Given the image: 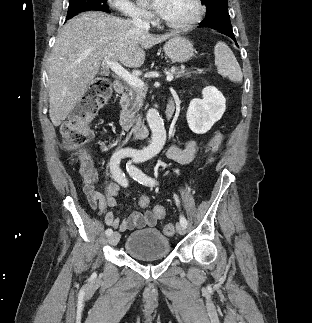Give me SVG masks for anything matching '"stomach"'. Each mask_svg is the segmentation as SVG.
Segmentation results:
<instances>
[{
    "mask_svg": "<svg viewBox=\"0 0 312 323\" xmlns=\"http://www.w3.org/2000/svg\"><path fill=\"white\" fill-rule=\"evenodd\" d=\"M166 56L172 60V62H188L194 56V48L190 40L181 38V36H173L171 40L166 42L163 48Z\"/></svg>",
    "mask_w": 312,
    "mask_h": 323,
    "instance_id": "stomach-1",
    "label": "stomach"
}]
</instances>
